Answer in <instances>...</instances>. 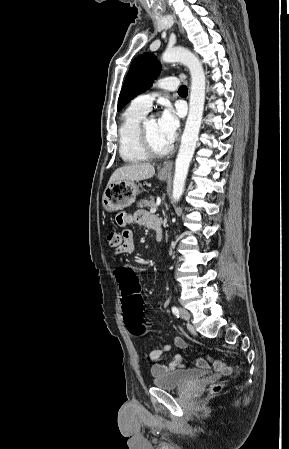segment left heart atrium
I'll use <instances>...</instances> for the list:
<instances>
[{
    "instance_id": "1",
    "label": "left heart atrium",
    "mask_w": 289,
    "mask_h": 449,
    "mask_svg": "<svg viewBox=\"0 0 289 449\" xmlns=\"http://www.w3.org/2000/svg\"><path fill=\"white\" fill-rule=\"evenodd\" d=\"M159 127L166 137V139L172 144L176 139L179 120L171 106L166 105L158 119Z\"/></svg>"
}]
</instances>
